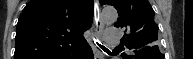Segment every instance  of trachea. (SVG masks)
Segmentation results:
<instances>
[{
  "instance_id": "trachea-1",
  "label": "trachea",
  "mask_w": 193,
  "mask_h": 59,
  "mask_svg": "<svg viewBox=\"0 0 193 59\" xmlns=\"http://www.w3.org/2000/svg\"><path fill=\"white\" fill-rule=\"evenodd\" d=\"M97 45L104 51H109L108 48H106L104 45H101L99 43H97ZM119 48H114L113 50H118Z\"/></svg>"
}]
</instances>
